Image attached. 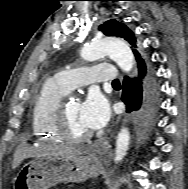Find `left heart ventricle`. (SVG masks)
I'll list each match as a JSON object with an SVG mask.
<instances>
[{
	"instance_id": "b2bd125f",
	"label": "left heart ventricle",
	"mask_w": 188,
	"mask_h": 189,
	"mask_svg": "<svg viewBox=\"0 0 188 189\" xmlns=\"http://www.w3.org/2000/svg\"><path fill=\"white\" fill-rule=\"evenodd\" d=\"M68 127L72 134L81 135L89 132V129L81 119V104L77 101L67 103Z\"/></svg>"
}]
</instances>
